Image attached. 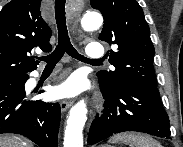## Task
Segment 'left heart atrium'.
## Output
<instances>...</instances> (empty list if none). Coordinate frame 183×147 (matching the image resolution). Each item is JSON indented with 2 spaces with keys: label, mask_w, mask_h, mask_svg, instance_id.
<instances>
[{
  "label": "left heart atrium",
  "mask_w": 183,
  "mask_h": 147,
  "mask_svg": "<svg viewBox=\"0 0 183 147\" xmlns=\"http://www.w3.org/2000/svg\"><path fill=\"white\" fill-rule=\"evenodd\" d=\"M84 88V83L81 78L73 76L68 78L62 84H60L55 89V94L57 97H73L79 94Z\"/></svg>",
  "instance_id": "39dd6f15"
}]
</instances>
